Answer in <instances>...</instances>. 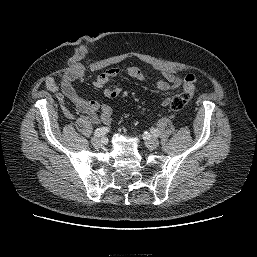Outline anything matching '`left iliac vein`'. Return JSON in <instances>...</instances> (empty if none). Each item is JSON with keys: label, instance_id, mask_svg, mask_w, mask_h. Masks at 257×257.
I'll return each mask as SVG.
<instances>
[{"label": "left iliac vein", "instance_id": "left-iliac-vein-1", "mask_svg": "<svg viewBox=\"0 0 257 257\" xmlns=\"http://www.w3.org/2000/svg\"><path fill=\"white\" fill-rule=\"evenodd\" d=\"M144 138H145V140H146L147 146H148L150 149H155V148L158 147L159 141H158L155 137L151 136L150 134H145V135H144Z\"/></svg>", "mask_w": 257, "mask_h": 257}]
</instances>
